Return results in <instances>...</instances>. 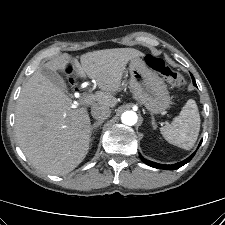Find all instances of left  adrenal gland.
Instances as JSON below:
<instances>
[{"mask_svg": "<svg viewBox=\"0 0 225 225\" xmlns=\"http://www.w3.org/2000/svg\"><path fill=\"white\" fill-rule=\"evenodd\" d=\"M151 119H152V126H153V129H156V123H155V119H154V116L152 115L151 116Z\"/></svg>", "mask_w": 225, "mask_h": 225, "instance_id": "left-adrenal-gland-1", "label": "left adrenal gland"}]
</instances>
